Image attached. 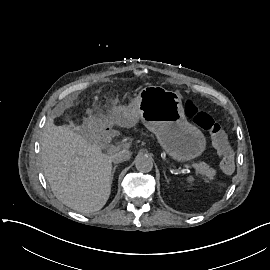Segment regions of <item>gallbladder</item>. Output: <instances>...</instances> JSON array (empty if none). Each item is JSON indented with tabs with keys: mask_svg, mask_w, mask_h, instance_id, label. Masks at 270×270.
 Listing matches in <instances>:
<instances>
[{
	"mask_svg": "<svg viewBox=\"0 0 270 270\" xmlns=\"http://www.w3.org/2000/svg\"><path fill=\"white\" fill-rule=\"evenodd\" d=\"M70 129L74 130V132H79L80 126L75 125L72 121H70V124L68 126Z\"/></svg>",
	"mask_w": 270,
	"mask_h": 270,
	"instance_id": "bac80fb5",
	"label": "gallbladder"
}]
</instances>
